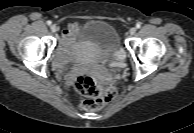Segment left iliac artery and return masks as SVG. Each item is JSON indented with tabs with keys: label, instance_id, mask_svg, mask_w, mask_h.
Returning a JSON list of instances; mask_svg holds the SVG:
<instances>
[{
	"label": "left iliac artery",
	"instance_id": "44dca946",
	"mask_svg": "<svg viewBox=\"0 0 194 133\" xmlns=\"http://www.w3.org/2000/svg\"><path fill=\"white\" fill-rule=\"evenodd\" d=\"M141 27V24L140 23H137L136 24V28H140Z\"/></svg>",
	"mask_w": 194,
	"mask_h": 133
}]
</instances>
